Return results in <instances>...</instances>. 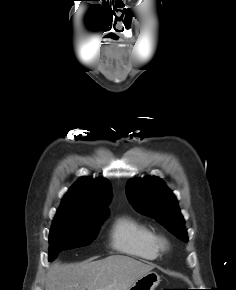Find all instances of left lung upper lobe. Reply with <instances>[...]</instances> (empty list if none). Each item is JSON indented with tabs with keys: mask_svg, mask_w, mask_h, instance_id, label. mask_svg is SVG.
Instances as JSON below:
<instances>
[{
	"mask_svg": "<svg viewBox=\"0 0 236 290\" xmlns=\"http://www.w3.org/2000/svg\"><path fill=\"white\" fill-rule=\"evenodd\" d=\"M126 194L138 211L153 217L178 239L188 241L178 201L160 178L130 180L126 184Z\"/></svg>",
	"mask_w": 236,
	"mask_h": 290,
	"instance_id": "obj_1",
	"label": "left lung upper lobe"
}]
</instances>
